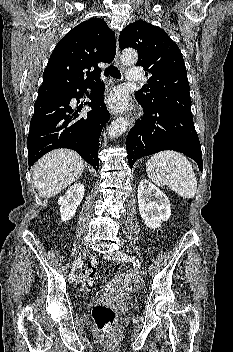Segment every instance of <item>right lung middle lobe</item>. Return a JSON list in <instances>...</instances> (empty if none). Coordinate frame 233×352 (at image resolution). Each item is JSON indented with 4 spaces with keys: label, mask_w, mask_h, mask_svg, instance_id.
<instances>
[{
    "label": "right lung middle lobe",
    "mask_w": 233,
    "mask_h": 352,
    "mask_svg": "<svg viewBox=\"0 0 233 352\" xmlns=\"http://www.w3.org/2000/svg\"><path fill=\"white\" fill-rule=\"evenodd\" d=\"M71 93V90L64 87H44L38 89L37 99L65 97Z\"/></svg>",
    "instance_id": "1"
}]
</instances>
